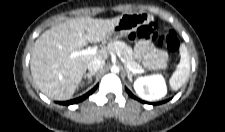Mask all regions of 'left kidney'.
Masks as SVG:
<instances>
[{
  "mask_svg": "<svg viewBox=\"0 0 225 132\" xmlns=\"http://www.w3.org/2000/svg\"><path fill=\"white\" fill-rule=\"evenodd\" d=\"M134 89L140 98L147 101L158 100L167 92L165 80L160 74L139 77L134 82Z\"/></svg>",
  "mask_w": 225,
  "mask_h": 132,
  "instance_id": "left-kidney-1",
  "label": "left kidney"
}]
</instances>
